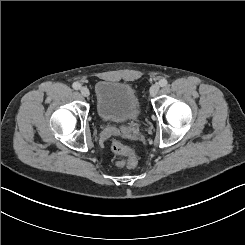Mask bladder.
Wrapping results in <instances>:
<instances>
[{"label":"bladder","mask_w":245,"mask_h":245,"mask_svg":"<svg viewBox=\"0 0 245 245\" xmlns=\"http://www.w3.org/2000/svg\"><path fill=\"white\" fill-rule=\"evenodd\" d=\"M96 104L104 120L127 121L138 115V97L128 84L99 82L96 86Z\"/></svg>","instance_id":"1"}]
</instances>
